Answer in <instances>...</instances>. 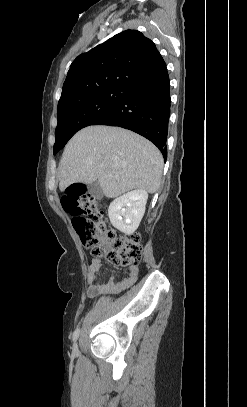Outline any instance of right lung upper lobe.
Wrapping results in <instances>:
<instances>
[{
    "instance_id": "cb5924a9",
    "label": "right lung upper lobe",
    "mask_w": 247,
    "mask_h": 407,
    "mask_svg": "<svg viewBox=\"0 0 247 407\" xmlns=\"http://www.w3.org/2000/svg\"><path fill=\"white\" fill-rule=\"evenodd\" d=\"M165 66L150 39L136 30L123 31L73 61L58 107L106 88H132Z\"/></svg>"
}]
</instances>
